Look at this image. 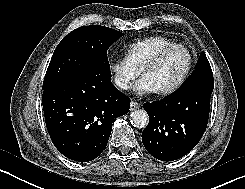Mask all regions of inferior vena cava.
Returning <instances> with one entry per match:
<instances>
[{"mask_svg": "<svg viewBox=\"0 0 245 189\" xmlns=\"http://www.w3.org/2000/svg\"><path fill=\"white\" fill-rule=\"evenodd\" d=\"M115 83L118 87L122 88V89H127L128 88V83L127 81H125L123 78L121 77H116L115 78Z\"/></svg>", "mask_w": 245, "mask_h": 189, "instance_id": "602c4592", "label": "inferior vena cava"}]
</instances>
